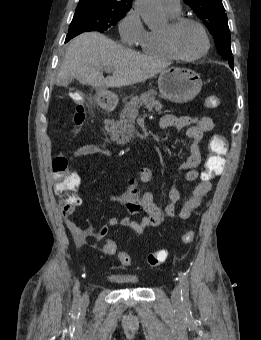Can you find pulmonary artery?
Masks as SVG:
<instances>
[{"mask_svg":"<svg viewBox=\"0 0 261 340\" xmlns=\"http://www.w3.org/2000/svg\"><path fill=\"white\" fill-rule=\"evenodd\" d=\"M163 9L170 15L176 16L181 11L180 0H160Z\"/></svg>","mask_w":261,"mask_h":340,"instance_id":"e3ab8cb5","label":"pulmonary artery"}]
</instances>
